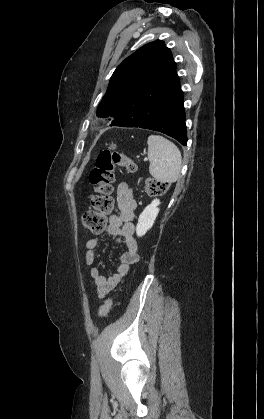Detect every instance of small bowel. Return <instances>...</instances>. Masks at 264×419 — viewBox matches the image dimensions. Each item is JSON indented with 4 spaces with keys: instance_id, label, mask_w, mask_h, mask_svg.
<instances>
[{
    "instance_id": "obj_1",
    "label": "small bowel",
    "mask_w": 264,
    "mask_h": 419,
    "mask_svg": "<svg viewBox=\"0 0 264 419\" xmlns=\"http://www.w3.org/2000/svg\"><path fill=\"white\" fill-rule=\"evenodd\" d=\"M116 203L118 214L109 216L106 230L114 238L115 242L126 247V251L121 255L116 271L110 275L104 274L99 267L91 268L90 275L94 279L100 298L114 290L129 273L130 267L139 261L138 244L134 238L136 201L128 183H118L116 187ZM98 245L99 239L96 237L86 242L85 262L88 266H91L98 257Z\"/></svg>"
}]
</instances>
